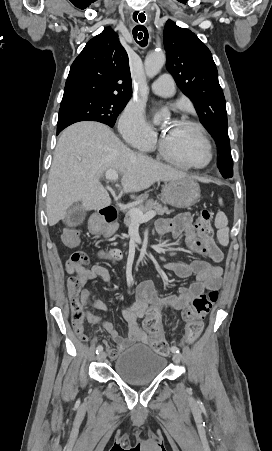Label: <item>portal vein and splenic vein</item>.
<instances>
[{"instance_id": "18ae733b", "label": "portal vein and splenic vein", "mask_w": 272, "mask_h": 451, "mask_svg": "<svg viewBox=\"0 0 272 451\" xmlns=\"http://www.w3.org/2000/svg\"><path fill=\"white\" fill-rule=\"evenodd\" d=\"M105 178L106 180H110V182H114V180H118V174L116 170H107ZM155 216L156 212H154V210H151V212H146V214H143V212H141V210H137V208H132V210H130V218L133 224H143V222H149V220H152Z\"/></svg>"}]
</instances>
